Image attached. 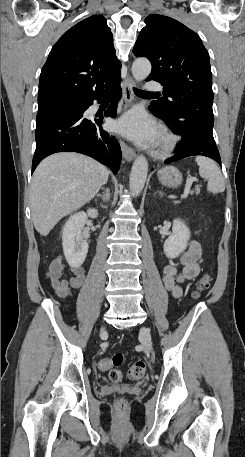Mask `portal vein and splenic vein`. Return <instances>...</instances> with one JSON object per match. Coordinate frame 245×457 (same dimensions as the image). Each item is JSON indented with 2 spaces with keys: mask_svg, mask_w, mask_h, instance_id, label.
<instances>
[{
  "mask_svg": "<svg viewBox=\"0 0 245 457\" xmlns=\"http://www.w3.org/2000/svg\"><path fill=\"white\" fill-rule=\"evenodd\" d=\"M196 180H198L196 176H188L187 183L184 189V194H181L182 198H187L190 189L194 187V185L196 184Z\"/></svg>",
  "mask_w": 245,
  "mask_h": 457,
  "instance_id": "obj_1",
  "label": "portal vein and splenic vein"
}]
</instances>
